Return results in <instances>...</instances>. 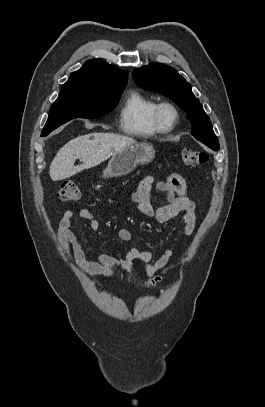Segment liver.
I'll return each mask as SVG.
<instances>
[{"mask_svg": "<svg viewBox=\"0 0 265 407\" xmlns=\"http://www.w3.org/2000/svg\"><path fill=\"white\" fill-rule=\"evenodd\" d=\"M136 141L112 133H91L78 136L66 143L56 154L49 168L53 181L64 180L97 166ZM79 159L82 163L75 166Z\"/></svg>", "mask_w": 265, "mask_h": 407, "instance_id": "1", "label": "liver"}]
</instances>
